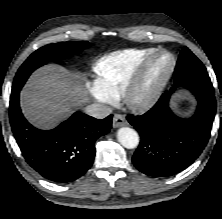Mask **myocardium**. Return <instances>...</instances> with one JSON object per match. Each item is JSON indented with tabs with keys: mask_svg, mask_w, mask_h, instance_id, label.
Segmentation results:
<instances>
[{
	"mask_svg": "<svg viewBox=\"0 0 222 219\" xmlns=\"http://www.w3.org/2000/svg\"><path fill=\"white\" fill-rule=\"evenodd\" d=\"M169 57V64L159 82L150 89H147L149 72L155 61L162 57ZM176 67L175 56L164 49L156 50L149 55L139 66L136 73L125 86L122 92V99L126 106L136 112H144L151 108L163 94Z\"/></svg>",
	"mask_w": 222,
	"mask_h": 219,
	"instance_id": "obj_1",
	"label": "myocardium"
}]
</instances>
